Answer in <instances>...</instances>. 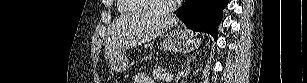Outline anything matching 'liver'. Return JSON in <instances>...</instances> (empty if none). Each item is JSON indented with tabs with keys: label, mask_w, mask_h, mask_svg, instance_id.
Listing matches in <instances>:
<instances>
[{
	"label": "liver",
	"mask_w": 307,
	"mask_h": 83,
	"mask_svg": "<svg viewBox=\"0 0 307 83\" xmlns=\"http://www.w3.org/2000/svg\"><path fill=\"white\" fill-rule=\"evenodd\" d=\"M177 24V18L150 12L125 16L116 21L109 30L104 56L110 59L119 55L125 48L149 42Z\"/></svg>",
	"instance_id": "6515ba94"
}]
</instances>
